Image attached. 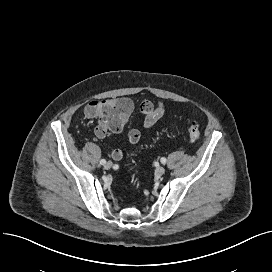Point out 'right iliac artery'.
Wrapping results in <instances>:
<instances>
[{"label": "right iliac artery", "mask_w": 272, "mask_h": 272, "mask_svg": "<svg viewBox=\"0 0 272 272\" xmlns=\"http://www.w3.org/2000/svg\"><path fill=\"white\" fill-rule=\"evenodd\" d=\"M105 163H106V160H105V159L100 160V164H101V165H104Z\"/></svg>", "instance_id": "obj_1"}]
</instances>
